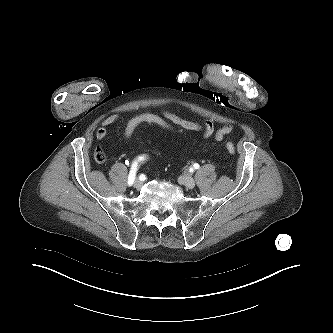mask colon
Wrapping results in <instances>:
<instances>
[{"label":"colon","instance_id":"obj_1","mask_svg":"<svg viewBox=\"0 0 333 333\" xmlns=\"http://www.w3.org/2000/svg\"><path fill=\"white\" fill-rule=\"evenodd\" d=\"M150 124L157 125L162 128L177 132L179 134L182 133L180 129H177L174 124L164 118L161 114L151 113V112H143L139 113L132 118H130L124 128V137L125 139H130L134 134L135 130L141 125ZM227 151L233 155L235 153L234 145L231 142L226 143ZM95 160L98 163H103L106 161V154L101 148H98L95 152Z\"/></svg>","mask_w":333,"mask_h":333}]
</instances>
